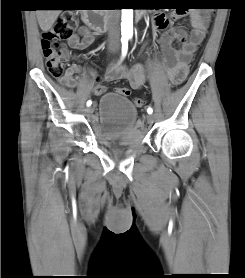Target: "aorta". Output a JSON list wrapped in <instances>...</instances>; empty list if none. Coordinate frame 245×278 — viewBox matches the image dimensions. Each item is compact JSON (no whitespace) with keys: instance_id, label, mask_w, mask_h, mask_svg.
Returning a JSON list of instances; mask_svg holds the SVG:
<instances>
[{"instance_id":"aorta-1","label":"aorta","mask_w":245,"mask_h":278,"mask_svg":"<svg viewBox=\"0 0 245 278\" xmlns=\"http://www.w3.org/2000/svg\"><path fill=\"white\" fill-rule=\"evenodd\" d=\"M121 33L123 37L133 35V9H122Z\"/></svg>"}]
</instances>
